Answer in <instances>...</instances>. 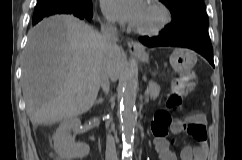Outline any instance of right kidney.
<instances>
[{
  "mask_svg": "<svg viewBox=\"0 0 242 160\" xmlns=\"http://www.w3.org/2000/svg\"><path fill=\"white\" fill-rule=\"evenodd\" d=\"M81 121L71 118L63 121L53 135L54 148L59 156L65 160L82 159L89 154L90 148L84 143H74L70 135L71 129H78Z\"/></svg>",
  "mask_w": 242,
  "mask_h": 160,
  "instance_id": "ca27d5eb",
  "label": "right kidney"
}]
</instances>
